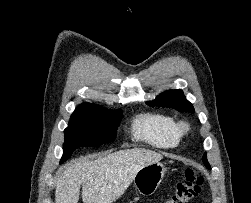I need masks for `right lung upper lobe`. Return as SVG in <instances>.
Returning a JSON list of instances; mask_svg holds the SVG:
<instances>
[{
  "label": "right lung upper lobe",
  "instance_id": "right-lung-upper-lobe-1",
  "mask_svg": "<svg viewBox=\"0 0 251 203\" xmlns=\"http://www.w3.org/2000/svg\"><path fill=\"white\" fill-rule=\"evenodd\" d=\"M86 105H95V104L84 103V104H82V105H80V106H86Z\"/></svg>",
  "mask_w": 251,
  "mask_h": 203
}]
</instances>
